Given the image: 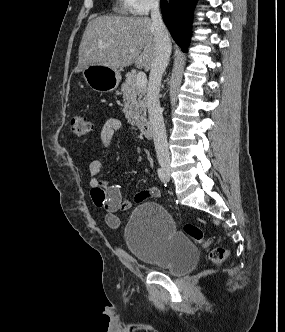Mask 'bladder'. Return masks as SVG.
Returning <instances> with one entry per match:
<instances>
[{
	"instance_id": "1",
	"label": "bladder",
	"mask_w": 285,
	"mask_h": 332,
	"mask_svg": "<svg viewBox=\"0 0 285 332\" xmlns=\"http://www.w3.org/2000/svg\"><path fill=\"white\" fill-rule=\"evenodd\" d=\"M124 241L136 260L173 275L186 273L199 257L190 238L175 229L171 214L153 202L134 208L124 231Z\"/></svg>"
}]
</instances>
